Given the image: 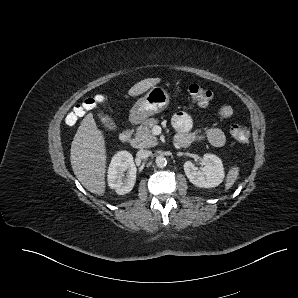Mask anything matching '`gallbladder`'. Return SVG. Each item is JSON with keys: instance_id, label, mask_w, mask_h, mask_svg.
Wrapping results in <instances>:
<instances>
[{"instance_id": "obj_1", "label": "gallbladder", "mask_w": 298, "mask_h": 298, "mask_svg": "<svg viewBox=\"0 0 298 298\" xmlns=\"http://www.w3.org/2000/svg\"><path fill=\"white\" fill-rule=\"evenodd\" d=\"M102 122L107 123L108 122V118L107 117H101Z\"/></svg>"}]
</instances>
